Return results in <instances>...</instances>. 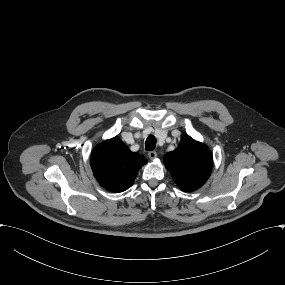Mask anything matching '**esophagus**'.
I'll return each instance as SVG.
<instances>
[{
    "instance_id": "34e87169",
    "label": "esophagus",
    "mask_w": 285,
    "mask_h": 285,
    "mask_svg": "<svg viewBox=\"0 0 285 285\" xmlns=\"http://www.w3.org/2000/svg\"><path fill=\"white\" fill-rule=\"evenodd\" d=\"M148 157L153 160L157 157V152L156 151H150L148 152Z\"/></svg>"
}]
</instances>
